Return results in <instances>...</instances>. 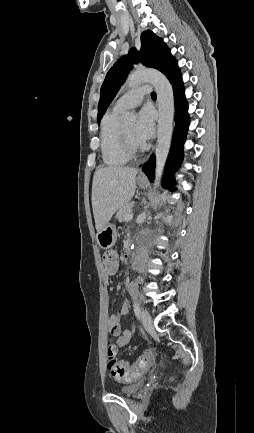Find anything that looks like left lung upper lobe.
<instances>
[{
	"label": "left lung upper lobe",
	"mask_w": 254,
	"mask_h": 433,
	"mask_svg": "<svg viewBox=\"0 0 254 433\" xmlns=\"http://www.w3.org/2000/svg\"><path fill=\"white\" fill-rule=\"evenodd\" d=\"M142 62L147 67L155 68L162 73L175 61L170 49L161 38L152 31L147 30L141 34V50L138 52L132 48L128 55L121 57L108 71L100 89V100L98 103L97 120L101 118L107 110L109 104L116 96L120 86L125 81L133 64Z\"/></svg>",
	"instance_id": "1"
}]
</instances>
